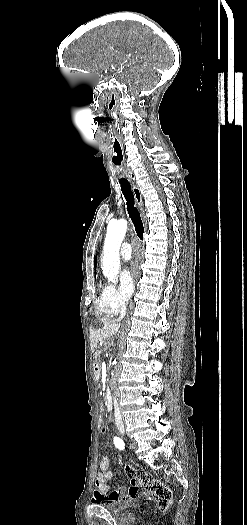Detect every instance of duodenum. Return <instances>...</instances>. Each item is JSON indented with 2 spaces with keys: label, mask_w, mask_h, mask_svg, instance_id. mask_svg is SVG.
I'll list each match as a JSON object with an SVG mask.
<instances>
[{
  "label": "duodenum",
  "mask_w": 247,
  "mask_h": 525,
  "mask_svg": "<svg viewBox=\"0 0 247 525\" xmlns=\"http://www.w3.org/2000/svg\"><path fill=\"white\" fill-rule=\"evenodd\" d=\"M93 370H94V375L96 377H99L100 375V367L98 364H94L93 365ZM105 400H106V404H107V407H108V410H112V396H111V393L109 391H106L105 392Z\"/></svg>",
  "instance_id": "obj_1"
}]
</instances>
